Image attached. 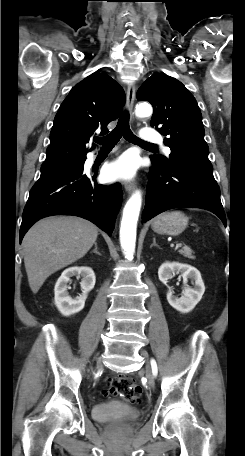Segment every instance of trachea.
I'll list each match as a JSON object with an SVG mask.
<instances>
[{"label": "trachea", "mask_w": 245, "mask_h": 456, "mask_svg": "<svg viewBox=\"0 0 245 456\" xmlns=\"http://www.w3.org/2000/svg\"><path fill=\"white\" fill-rule=\"evenodd\" d=\"M121 137L130 143L143 146H153V144L144 142L133 134L129 126V114L127 112L122 114L112 132L104 137H96L94 140L96 143L102 145V147H113L118 143Z\"/></svg>", "instance_id": "3493384b"}]
</instances>
